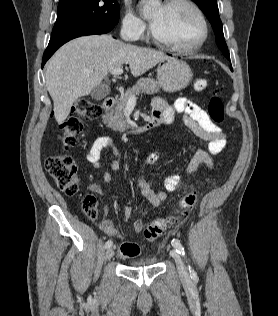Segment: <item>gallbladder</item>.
<instances>
[{
	"mask_svg": "<svg viewBox=\"0 0 278 316\" xmlns=\"http://www.w3.org/2000/svg\"><path fill=\"white\" fill-rule=\"evenodd\" d=\"M109 91V88L105 85H98L92 90L91 97L99 101L105 98L108 95Z\"/></svg>",
	"mask_w": 278,
	"mask_h": 316,
	"instance_id": "obj_1",
	"label": "gallbladder"
}]
</instances>
